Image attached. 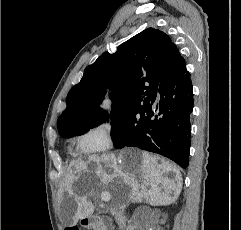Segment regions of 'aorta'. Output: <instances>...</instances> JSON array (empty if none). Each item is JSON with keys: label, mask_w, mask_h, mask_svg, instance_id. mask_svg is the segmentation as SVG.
Wrapping results in <instances>:
<instances>
[{"label": "aorta", "mask_w": 241, "mask_h": 230, "mask_svg": "<svg viewBox=\"0 0 241 230\" xmlns=\"http://www.w3.org/2000/svg\"><path fill=\"white\" fill-rule=\"evenodd\" d=\"M108 106H109L108 101L107 100L104 101L103 104H102V108H108Z\"/></svg>", "instance_id": "aorta-1"}]
</instances>
